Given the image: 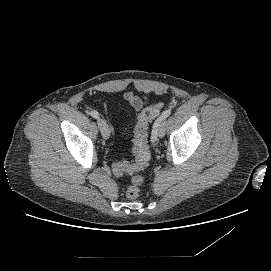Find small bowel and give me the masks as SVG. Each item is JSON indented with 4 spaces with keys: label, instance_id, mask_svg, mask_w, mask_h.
<instances>
[{
    "label": "small bowel",
    "instance_id": "c3829d8e",
    "mask_svg": "<svg viewBox=\"0 0 271 271\" xmlns=\"http://www.w3.org/2000/svg\"><path fill=\"white\" fill-rule=\"evenodd\" d=\"M126 99L130 102L131 106L135 110H140L143 107V101L140 98H138L137 96H134L131 93H128L126 95Z\"/></svg>",
    "mask_w": 271,
    "mask_h": 271
}]
</instances>
